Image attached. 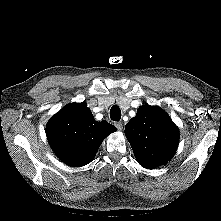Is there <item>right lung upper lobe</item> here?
<instances>
[{
    "label": "right lung upper lobe",
    "mask_w": 221,
    "mask_h": 221,
    "mask_svg": "<svg viewBox=\"0 0 221 221\" xmlns=\"http://www.w3.org/2000/svg\"><path fill=\"white\" fill-rule=\"evenodd\" d=\"M115 130L105 120L95 121L83 102L69 104L55 114L46 126V135L61 161L80 167L92 161L104 138Z\"/></svg>",
    "instance_id": "right-lung-upper-lobe-1"
}]
</instances>
